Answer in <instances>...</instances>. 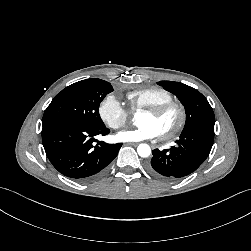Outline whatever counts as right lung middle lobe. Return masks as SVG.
Segmentation results:
<instances>
[{"label":"right lung middle lobe","instance_id":"obj_1","mask_svg":"<svg viewBox=\"0 0 251 251\" xmlns=\"http://www.w3.org/2000/svg\"><path fill=\"white\" fill-rule=\"evenodd\" d=\"M112 91L111 84L104 80L93 78L76 82L54 97L44 112L42 126L55 122L103 126L99 105Z\"/></svg>","mask_w":251,"mask_h":251}]
</instances>
